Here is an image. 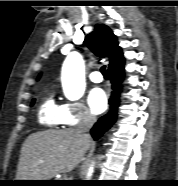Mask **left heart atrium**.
Wrapping results in <instances>:
<instances>
[{
	"instance_id": "39dd6f15",
	"label": "left heart atrium",
	"mask_w": 178,
	"mask_h": 186,
	"mask_svg": "<svg viewBox=\"0 0 178 186\" xmlns=\"http://www.w3.org/2000/svg\"><path fill=\"white\" fill-rule=\"evenodd\" d=\"M88 104L91 110L99 114L106 109L107 96L102 88L95 87L88 94Z\"/></svg>"
}]
</instances>
